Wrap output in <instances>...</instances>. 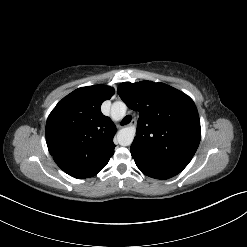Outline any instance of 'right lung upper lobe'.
Wrapping results in <instances>:
<instances>
[{"label":"right lung upper lobe","instance_id":"obj_1","mask_svg":"<svg viewBox=\"0 0 247 247\" xmlns=\"http://www.w3.org/2000/svg\"><path fill=\"white\" fill-rule=\"evenodd\" d=\"M115 91L106 85L74 90L50 113L46 142L56 164L74 178L90 177L114 154V123L101 113V104Z\"/></svg>","mask_w":247,"mask_h":247}]
</instances>
